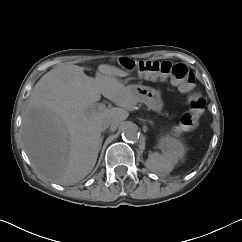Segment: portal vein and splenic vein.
Here are the masks:
<instances>
[{"instance_id": "1", "label": "portal vein and splenic vein", "mask_w": 242, "mask_h": 242, "mask_svg": "<svg viewBox=\"0 0 242 242\" xmlns=\"http://www.w3.org/2000/svg\"><path fill=\"white\" fill-rule=\"evenodd\" d=\"M105 109V104H99L98 105V107H97V109L96 108H91L90 110H89V113L90 112H93V111H95V110H99V111H102V110H104Z\"/></svg>"}]
</instances>
